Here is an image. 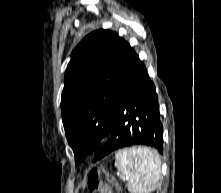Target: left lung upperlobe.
<instances>
[{"label": "left lung upper lobe", "instance_id": "obj_1", "mask_svg": "<svg viewBox=\"0 0 221 193\" xmlns=\"http://www.w3.org/2000/svg\"><path fill=\"white\" fill-rule=\"evenodd\" d=\"M137 54L115 32L97 30L74 49L61 98L62 120L79 164L109 135L123 78Z\"/></svg>", "mask_w": 221, "mask_h": 193}]
</instances>
